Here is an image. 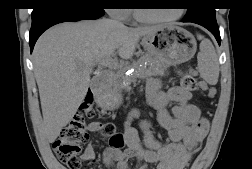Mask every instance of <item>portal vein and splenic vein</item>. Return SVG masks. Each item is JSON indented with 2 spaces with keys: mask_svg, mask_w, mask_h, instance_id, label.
Listing matches in <instances>:
<instances>
[{
  "mask_svg": "<svg viewBox=\"0 0 252 169\" xmlns=\"http://www.w3.org/2000/svg\"><path fill=\"white\" fill-rule=\"evenodd\" d=\"M99 65L107 66L110 68H116L118 66V63L112 59V57H105L104 59L98 61Z\"/></svg>",
  "mask_w": 252,
  "mask_h": 169,
  "instance_id": "1",
  "label": "portal vein and splenic vein"
}]
</instances>
